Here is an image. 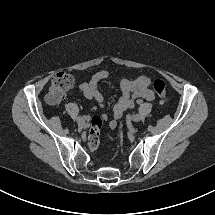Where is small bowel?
Returning <instances> with one entry per match:
<instances>
[{"mask_svg": "<svg viewBox=\"0 0 215 215\" xmlns=\"http://www.w3.org/2000/svg\"><path fill=\"white\" fill-rule=\"evenodd\" d=\"M109 77V72L106 70L97 71L92 75L89 81L82 82L79 85V91L90 100H94L99 107H103L104 98L98 90L100 82L106 80ZM150 80L146 76H139L132 79H122L120 82V88L122 95L114 105L112 115L114 120H111L109 126L111 129H115L118 126L117 120L120 119L124 112L133 107V100L135 98H143L146 100H154V92L149 88ZM107 119V116H103Z\"/></svg>", "mask_w": 215, "mask_h": 215, "instance_id": "1", "label": "small bowel"}]
</instances>
